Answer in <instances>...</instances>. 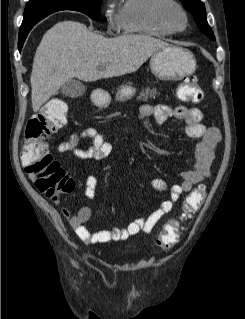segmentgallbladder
Wrapping results in <instances>:
<instances>
[{
    "instance_id": "obj_1",
    "label": "gallbladder",
    "mask_w": 245,
    "mask_h": 319,
    "mask_svg": "<svg viewBox=\"0 0 245 319\" xmlns=\"http://www.w3.org/2000/svg\"><path fill=\"white\" fill-rule=\"evenodd\" d=\"M61 93L70 98H77L85 93V86L78 80H70L61 86Z\"/></svg>"
}]
</instances>
